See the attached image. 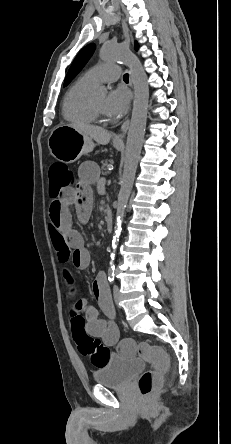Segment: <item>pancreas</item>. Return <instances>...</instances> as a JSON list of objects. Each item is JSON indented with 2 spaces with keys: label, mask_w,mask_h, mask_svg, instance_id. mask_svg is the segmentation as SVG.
<instances>
[{
  "label": "pancreas",
  "mask_w": 231,
  "mask_h": 444,
  "mask_svg": "<svg viewBox=\"0 0 231 444\" xmlns=\"http://www.w3.org/2000/svg\"><path fill=\"white\" fill-rule=\"evenodd\" d=\"M102 163V170H107L109 167H111L112 166V161H110V160H105V161H102L101 162Z\"/></svg>",
  "instance_id": "pancreas-1"
}]
</instances>
